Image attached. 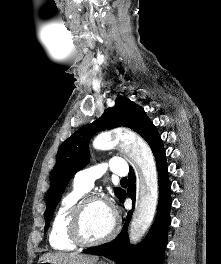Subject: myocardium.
<instances>
[{
    "mask_svg": "<svg viewBox=\"0 0 221 264\" xmlns=\"http://www.w3.org/2000/svg\"><path fill=\"white\" fill-rule=\"evenodd\" d=\"M93 201H98L107 204V201L95 194H85L83 195L71 209L69 219H68V234L70 239L77 245L80 246H97L104 244L111 239L118 232V219L117 216L113 213V223L110 231L102 238L97 240L87 239L82 231V219L83 213L86 206Z\"/></svg>",
    "mask_w": 221,
    "mask_h": 264,
    "instance_id": "myocardium-1",
    "label": "myocardium"
}]
</instances>
